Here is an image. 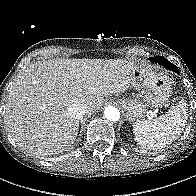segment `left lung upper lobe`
I'll return each mask as SVG.
<instances>
[{
	"label": "left lung upper lobe",
	"mask_w": 196,
	"mask_h": 196,
	"mask_svg": "<svg viewBox=\"0 0 196 196\" xmlns=\"http://www.w3.org/2000/svg\"><path fill=\"white\" fill-rule=\"evenodd\" d=\"M150 60L162 64L164 67L174 72L178 71V68L174 64L170 63L166 58L162 56L152 57L150 58Z\"/></svg>",
	"instance_id": "5c2ea615"
}]
</instances>
